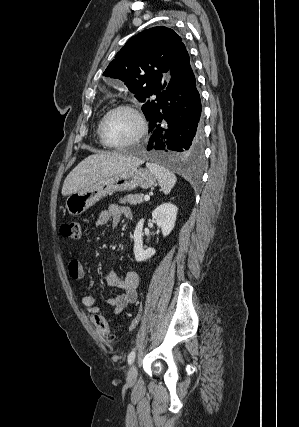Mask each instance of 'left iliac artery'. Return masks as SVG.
<instances>
[{"label":"left iliac artery","mask_w":299,"mask_h":427,"mask_svg":"<svg viewBox=\"0 0 299 427\" xmlns=\"http://www.w3.org/2000/svg\"><path fill=\"white\" fill-rule=\"evenodd\" d=\"M135 359V351H132L129 355H128V364L131 365L134 362Z\"/></svg>","instance_id":"left-iliac-artery-1"}]
</instances>
